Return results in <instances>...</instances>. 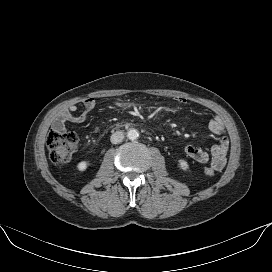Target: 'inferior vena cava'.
I'll return each instance as SVG.
<instances>
[{"label": "inferior vena cava", "instance_id": "602c4592", "mask_svg": "<svg viewBox=\"0 0 272 272\" xmlns=\"http://www.w3.org/2000/svg\"><path fill=\"white\" fill-rule=\"evenodd\" d=\"M124 139V134L121 131H117L111 135L110 141L112 144H118Z\"/></svg>", "mask_w": 272, "mask_h": 272}]
</instances>
